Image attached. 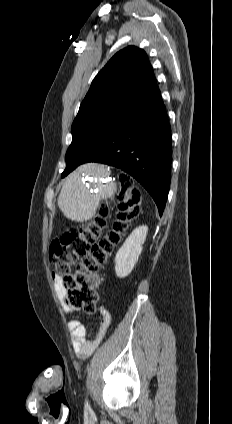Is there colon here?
Masks as SVG:
<instances>
[{
    "label": "colon",
    "instance_id": "1",
    "mask_svg": "<svg viewBox=\"0 0 232 424\" xmlns=\"http://www.w3.org/2000/svg\"><path fill=\"white\" fill-rule=\"evenodd\" d=\"M141 212V194L127 188L120 197L119 213L113 229L103 237L109 207L102 204L96 217L79 230H73L51 243L49 257L53 275L65 291L67 303L92 314L98 302V272L106 263L121 236ZM76 267L75 272L71 269Z\"/></svg>",
    "mask_w": 232,
    "mask_h": 424
}]
</instances>
